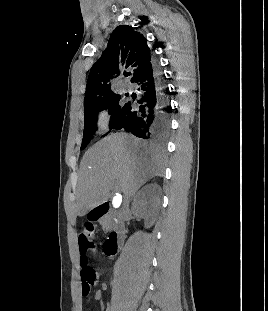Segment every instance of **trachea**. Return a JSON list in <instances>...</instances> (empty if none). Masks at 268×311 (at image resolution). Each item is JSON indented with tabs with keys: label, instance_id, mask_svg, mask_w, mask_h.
<instances>
[{
	"label": "trachea",
	"instance_id": "1",
	"mask_svg": "<svg viewBox=\"0 0 268 311\" xmlns=\"http://www.w3.org/2000/svg\"><path fill=\"white\" fill-rule=\"evenodd\" d=\"M129 74L128 73H124V76L127 77Z\"/></svg>",
	"mask_w": 268,
	"mask_h": 311
}]
</instances>
